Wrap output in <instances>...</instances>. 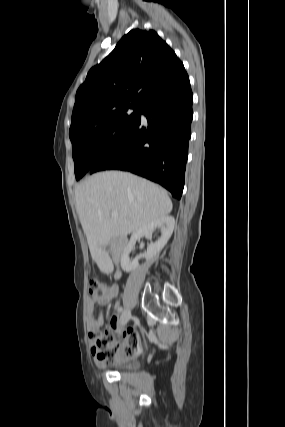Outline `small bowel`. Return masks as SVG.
<instances>
[{"mask_svg": "<svg viewBox=\"0 0 285 427\" xmlns=\"http://www.w3.org/2000/svg\"><path fill=\"white\" fill-rule=\"evenodd\" d=\"M117 294H118V286L116 284H112L109 287L108 291L97 300V303L99 305H105L114 297H116ZM114 308L117 312L121 310V307L118 303L115 304ZM104 324H105L104 316L102 314H99L98 316L95 315V302L93 300H89L88 309H87V329L89 333H91L93 330L99 329L100 327L104 326ZM110 327L112 328V330L116 331L117 333L122 334L124 337V340L123 342L114 341L113 350H114L115 356L112 361L101 359L98 356V353L95 350V347L93 344L92 353L97 363L102 366L108 363L118 364L122 362L125 359L124 350L129 345V339L133 335L137 336L136 332L133 329L123 330L120 327V318L117 314H114L110 317Z\"/></svg>", "mask_w": 285, "mask_h": 427, "instance_id": "1", "label": "small bowel"}]
</instances>
